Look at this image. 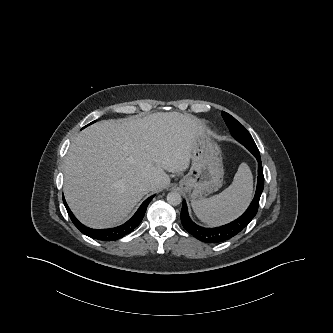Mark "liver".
<instances>
[{
  "mask_svg": "<svg viewBox=\"0 0 333 333\" xmlns=\"http://www.w3.org/2000/svg\"><path fill=\"white\" fill-rule=\"evenodd\" d=\"M203 134L199 119L178 112L93 124L77 135L65 157L63 190L70 209L91 228L123 223L146 194L169 185L166 171L189 167L192 147Z\"/></svg>",
  "mask_w": 333,
  "mask_h": 333,
  "instance_id": "6515ba94",
  "label": "liver"
}]
</instances>
